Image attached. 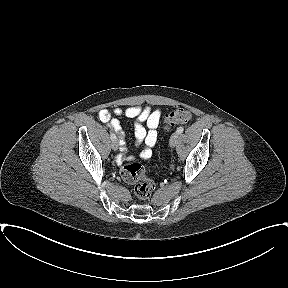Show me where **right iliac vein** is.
Segmentation results:
<instances>
[{
  "mask_svg": "<svg viewBox=\"0 0 288 288\" xmlns=\"http://www.w3.org/2000/svg\"><path fill=\"white\" fill-rule=\"evenodd\" d=\"M111 147H112V149H113L114 151H116V150L118 149V147H119V142H118L117 139L112 140V142H111Z\"/></svg>",
  "mask_w": 288,
  "mask_h": 288,
  "instance_id": "63e3f726",
  "label": "right iliac vein"
}]
</instances>
